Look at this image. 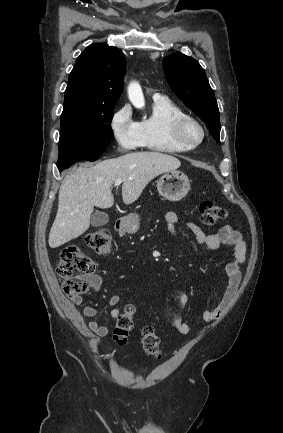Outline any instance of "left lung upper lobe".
Instances as JSON below:
<instances>
[{
	"instance_id": "1",
	"label": "left lung upper lobe",
	"mask_w": 283,
	"mask_h": 433,
	"mask_svg": "<svg viewBox=\"0 0 283 433\" xmlns=\"http://www.w3.org/2000/svg\"><path fill=\"white\" fill-rule=\"evenodd\" d=\"M166 79L173 92L202 121L208 123L213 138L220 143V121L214 91L199 63L182 53L163 59Z\"/></svg>"
}]
</instances>
